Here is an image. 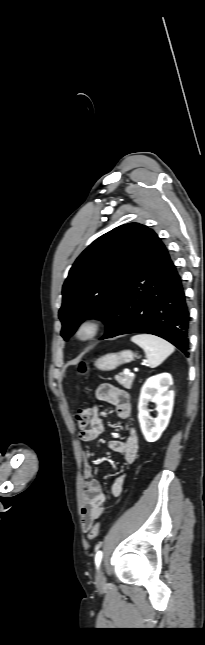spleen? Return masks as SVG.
<instances>
[{"instance_id": "obj_1", "label": "spleen", "mask_w": 205, "mask_h": 645, "mask_svg": "<svg viewBox=\"0 0 205 645\" xmlns=\"http://www.w3.org/2000/svg\"><path fill=\"white\" fill-rule=\"evenodd\" d=\"M131 341L140 346L146 354L148 365L151 368L159 366L169 355L174 352L172 344L166 340L151 335L138 334L131 338Z\"/></svg>"}]
</instances>
